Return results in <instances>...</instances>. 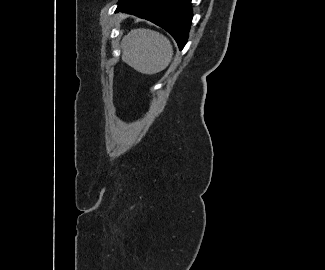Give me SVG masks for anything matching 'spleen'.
I'll use <instances>...</instances> for the list:
<instances>
[{
  "label": "spleen",
  "instance_id": "obj_1",
  "mask_svg": "<svg viewBox=\"0 0 325 270\" xmlns=\"http://www.w3.org/2000/svg\"><path fill=\"white\" fill-rule=\"evenodd\" d=\"M122 60L143 74L164 70L172 60L173 48L159 32L138 28L131 30L121 42Z\"/></svg>",
  "mask_w": 325,
  "mask_h": 270
}]
</instances>
